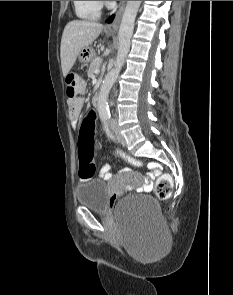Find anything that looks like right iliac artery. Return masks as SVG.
I'll return each instance as SVG.
<instances>
[{
	"label": "right iliac artery",
	"mask_w": 233,
	"mask_h": 295,
	"mask_svg": "<svg viewBox=\"0 0 233 295\" xmlns=\"http://www.w3.org/2000/svg\"><path fill=\"white\" fill-rule=\"evenodd\" d=\"M103 122H104V127H105L106 134H107L108 137H110L111 139H114V135H113V133L111 132V130L109 129L106 120L104 119Z\"/></svg>",
	"instance_id": "1"
}]
</instances>
